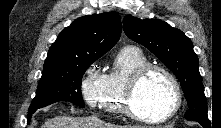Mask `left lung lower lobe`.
Instances as JSON below:
<instances>
[{
	"label": "left lung lower lobe",
	"mask_w": 221,
	"mask_h": 128,
	"mask_svg": "<svg viewBox=\"0 0 221 128\" xmlns=\"http://www.w3.org/2000/svg\"><path fill=\"white\" fill-rule=\"evenodd\" d=\"M199 123H200L204 128H210V122H202V121H199Z\"/></svg>",
	"instance_id": "obj_1"
}]
</instances>
